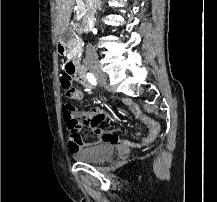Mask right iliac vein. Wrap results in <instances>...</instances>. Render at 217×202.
<instances>
[{"label": "right iliac vein", "mask_w": 217, "mask_h": 202, "mask_svg": "<svg viewBox=\"0 0 217 202\" xmlns=\"http://www.w3.org/2000/svg\"><path fill=\"white\" fill-rule=\"evenodd\" d=\"M99 79H100L101 81H106V77H105V76H100Z\"/></svg>", "instance_id": "obj_1"}]
</instances>
